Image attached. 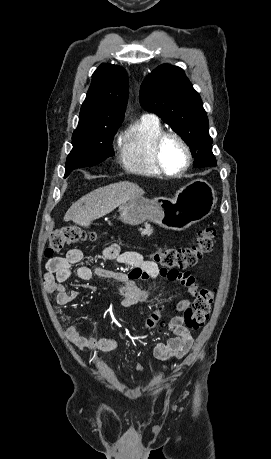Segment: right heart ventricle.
Instances as JSON below:
<instances>
[{"label": "right heart ventricle", "instance_id": "1", "mask_svg": "<svg viewBox=\"0 0 271 459\" xmlns=\"http://www.w3.org/2000/svg\"><path fill=\"white\" fill-rule=\"evenodd\" d=\"M163 131L156 117L142 116L131 128L120 151V162L131 173L162 177L164 173L157 167L152 157L154 138Z\"/></svg>", "mask_w": 271, "mask_h": 459}]
</instances>
